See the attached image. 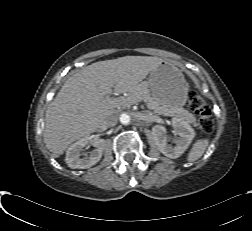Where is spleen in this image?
Segmentation results:
<instances>
[{
  "label": "spleen",
  "instance_id": "1",
  "mask_svg": "<svg viewBox=\"0 0 252 231\" xmlns=\"http://www.w3.org/2000/svg\"><path fill=\"white\" fill-rule=\"evenodd\" d=\"M208 145H209L208 139H202L196 141L188 154L187 160L189 162H194L198 160L204 154Z\"/></svg>",
  "mask_w": 252,
  "mask_h": 231
}]
</instances>
